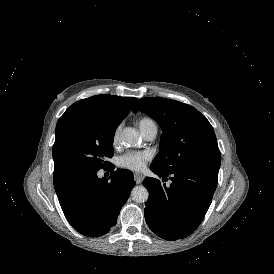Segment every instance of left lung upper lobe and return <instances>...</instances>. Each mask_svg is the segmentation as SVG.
<instances>
[{
  "label": "left lung upper lobe",
  "instance_id": "1",
  "mask_svg": "<svg viewBox=\"0 0 274 274\" xmlns=\"http://www.w3.org/2000/svg\"><path fill=\"white\" fill-rule=\"evenodd\" d=\"M151 116L163 134L160 153L152 166L172 172L201 168L219 171L221 153L214 130L209 121L194 107L161 97L142 98L133 112Z\"/></svg>",
  "mask_w": 274,
  "mask_h": 274
}]
</instances>
